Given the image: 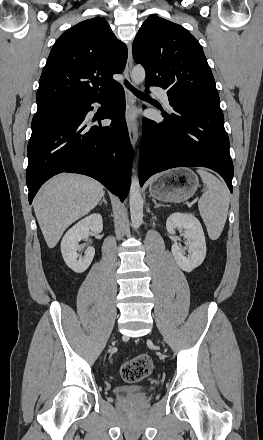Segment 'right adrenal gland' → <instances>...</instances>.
I'll use <instances>...</instances> for the list:
<instances>
[{
  "label": "right adrenal gland",
  "mask_w": 263,
  "mask_h": 440,
  "mask_svg": "<svg viewBox=\"0 0 263 440\" xmlns=\"http://www.w3.org/2000/svg\"><path fill=\"white\" fill-rule=\"evenodd\" d=\"M102 202H104V203H105V205H107V201H106V199H105V197H104V196H103L102 200L100 201L99 205H101V204H102Z\"/></svg>",
  "instance_id": "right-adrenal-gland-1"
}]
</instances>
